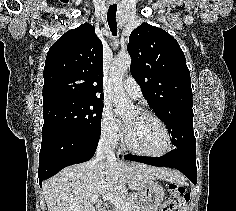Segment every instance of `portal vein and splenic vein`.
<instances>
[{
    "label": "portal vein and splenic vein",
    "mask_w": 236,
    "mask_h": 211,
    "mask_svg": "<svg viewBox=\"0 0 236 211\" xmlns=\"http://www.w3.org/2000/svg\"><path fill=\"white\" fill-rule=\"evenodd\" d=\"M98 199V196H93L92 200L95 201ZM104 200H108L111 203L114 204L117 208H119L120 211H127L129 207V202H124V200L118 196V195H113V194H107L103 196Z\"/></svg>",
    "instance_id": "18ae733b"
}]
</instances>
